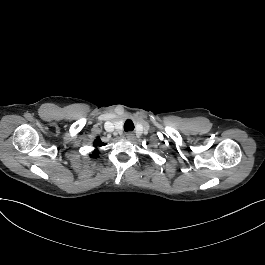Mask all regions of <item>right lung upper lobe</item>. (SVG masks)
I'll use <instances>...</instances> for the list:
<instances>
[{
	"mask_svg": "<svg viewBox=\"0 0 265 265\" xmlns=\"http://www.w3.org/2000/svg\"><path fill=\"white\" fill-rule=\"evenodd\" d=\"M94 145H95L96 147H97V146H103L104 143H103V142L99 139V137H98L97 140H95ZM92 157H93V158L98 157V151H97V150H95V151L92 153Z\"/></svg>",
	"mask_w": 265,
	"mask_h": 265,
	"instance_id": "1",
	"label": "right lung upper lobe"
}]
</instances>
